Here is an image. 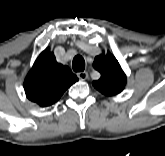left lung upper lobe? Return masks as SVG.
Wrapping results in <instances>:
<instances>
[{
	"mask_svg": "<svg viewBox=\"0 0 165 156\" xmlns=\"http://www.w3.org/2000/svg\"><path fill=\"white\" fill-rule=\"evenodd\" d=\"M93 67L101 73V78L92 84L102 94L114 96L124 89L126 75L110 52L95 57Z\"/></svg>",
	"mask_w": 165,
	"mask_h": 156,
	"instance_id": "left-lung-upper-lobe-1",
	"label": "left lung upper lobe"
}]
</instances>
